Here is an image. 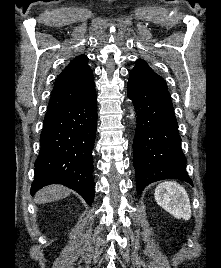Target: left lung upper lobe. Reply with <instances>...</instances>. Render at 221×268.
<instances>
[{
  "mask_svg": "<svg viewBox=\"0 0 221 268\" xmlns=\"http://www.w3.org/2000/svg\"><path fill=\"white\" fill-rule=\"evenodd\" d=\"M130 78L136 79L138 81H141L151 86L167 88V85L164 79L158 74H156L148 66V64L141 59H138L136 61L135 67L130 72Z\"/></svg>",
  "mask_w": 221,
  "mask_h": 268,
  "instance_id": "1",
  "label": "left lung upper lobe"
}]
</instances>
